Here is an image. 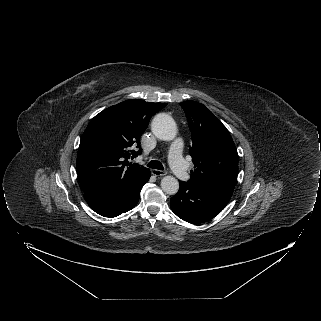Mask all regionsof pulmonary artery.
<instances>
[{"mask_svg": "<svg viewBox=\"0 0 321 321\" xmlns=\"http://www.w3.org/2000/svg\"><path fill=\"white\" fill-rule=\"evenodd\" d=\"M183 142L175 140L169 151V164L175 175L182 181H188L190 176L186 170L185 161L182 158Z\"/></svg>", "mask_w": 321, "mask_h": 321, "instance_id": "1", "label": "pulmonary artery"}]
</instances>
